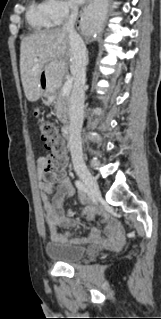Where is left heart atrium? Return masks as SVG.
Returning a JSON list of instances; mask_svg holds the SVG:
<instances>
[{"mask_svg":"<svg viewBox=\"0 0 161 319\" xmlns=\"http://www.w3.org/2000/svg\"><path fill=\"white\" fill-rule=\"evenodd\" d=\"M72 2H73L74 4H81V3L84 2V0H72Z\"/></svg>","mask_w":161,"mask_h":319,"instance_id":"obj_1","label":"left heart atrium"}]
</instances>
